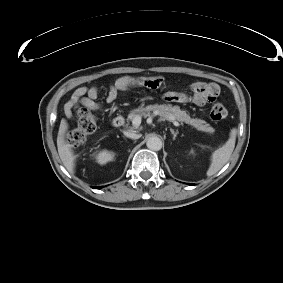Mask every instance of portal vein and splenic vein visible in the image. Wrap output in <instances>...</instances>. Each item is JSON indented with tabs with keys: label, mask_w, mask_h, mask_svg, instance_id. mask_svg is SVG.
<instances>
[{
	"label": "portal vein and splenic vein",
	"mask_w": 283,
	"mask_h": 283,
	"mask_svg": "<svg viewBox=\"0 0 283 283\" xmlns=\"http://www.w3.org/2000/svg\"><path fill=\"white\" fill-rule=\"evenodd\" d=\"M172 122L176 127L180 126V124L176 120H172ZM140 124H141V116L137 115L133 118L132 125L134 127H139Z\"/></svg>",
	"instance_id": "portal-vein-and-splenic-vein-1"
}]
</instances>
